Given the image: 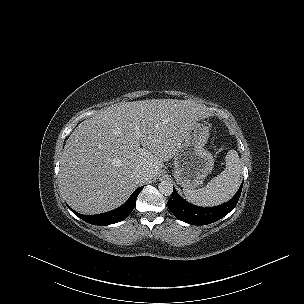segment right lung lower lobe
Segmentation results:
<instances>
[{
    "mask_svg": "<svg viewBox=\"0 0 304 304\" xmlns=\"http://www.w3.org/2000/svg\"><path fill=\"white\" fill-rule=\"evenodd\" d=\"M143 189V186L138 188L131 196L130 198L127 200V202L125 204H123L122 206H120L119 208L103 213V214H97V215H83V214H79L76 211L72 210L70 208V210L76 214L79 218H81L82 220L93 224V225H110V224H114L117 222H120L122 220H124L125 218L128 217V215L131 213V211L134 209L135 204H136V199L138 194L141 192V190Z\"/></svg>",
    "mask_w": 304,
    "mask_h": 304,
    "instance_id": "right-lung-lower-lobe-1",
    "label": "right lung lower lobe"
}]
</instances>
